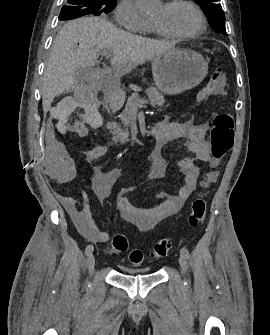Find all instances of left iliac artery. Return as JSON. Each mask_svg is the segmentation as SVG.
I'll return each mask as SVG.
<instances>
[{
	"label": "left iliac artery",
	"mask_w": 270,
	"mask_h": 335,
	"mask_svg": "<svg viewBox=\"0 0 270 335\" xmlns=\"http://www.w3.org/2000/svg\"><path fill=\"white\" fill-rule=\"evenodd\" d=\"M180 254H181L182 256H184L186 259H189V257H190L189 251H188L186 248H182V249L180 250Z\"/></svg>",
	"instance_id": "obj_1"
}]
</instances>
